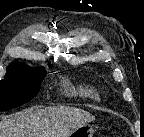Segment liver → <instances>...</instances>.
<instances>
[{
  "mask_svg": "<svg viewBox=\"0 0 144 137\" xmlns=\"http://www.w3.org/2000/svg\"><path fill=\"white\" fill-rule=\"evenodd\" d=\"M95 120L89 112L68 106L29 108L0 121V137H68Z\"/></svg>",
  "mask_w": 144,
  "mask_h": 137,
  "instance_id": "1",
  "label": "liver"
}]
</instances>
